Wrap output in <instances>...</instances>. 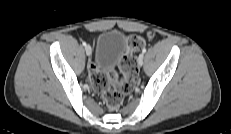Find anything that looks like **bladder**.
Returning a JSON list of instances; mask_svg holds the SVG:
<instances>
[{"label": "bladder", "mask_w": 231, "mask_h": 134, "mask_svg": "<svg viewBox=\"0 0 231 134\" xmlns=\"http://www.w3.org/2000/svg\"><path fill=\"white\" fill-rule=\"evenodd\" d=\"M126 48L125 35L118 30L101 32L96 40L94 63L98 70L109 73Z\"/></svg>", "instance_id": "1"}]
</instances>
